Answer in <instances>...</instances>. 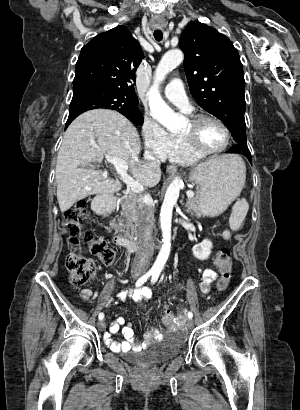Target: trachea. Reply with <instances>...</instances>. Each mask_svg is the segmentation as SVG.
Segmentation results:
<instances>
[{
	"instance_id": "obj_1",
	"label": "trachea",
	"mask_w": 300,
	"mask_h": 410,
	"mask_svg": "<svg viewBox=\"0 0 300 410\" xmlns=\"http://www.w3.org/2000/svg\"><path fill=\"white\" fill-rule=\"evenodd\" d=\"M154 38H155L157 41H161L162 38H163V33H162V31H161V30H155V31H154Z\"/></svg>"
}]
</instances>
